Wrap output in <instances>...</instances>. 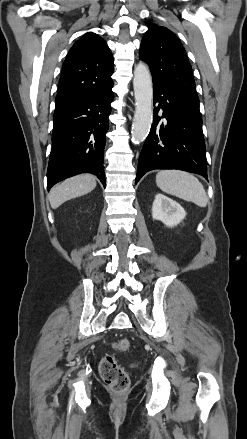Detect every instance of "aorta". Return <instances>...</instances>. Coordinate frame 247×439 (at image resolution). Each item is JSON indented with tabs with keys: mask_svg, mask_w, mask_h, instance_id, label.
<instances>
[{
	"mask_svg": "<svg viewBox=\"0 0 247 439\" xmlns=\"http://www.w3.org/2000/svg\"><path fill=\"white\" fill-rule=\"evenodd\" d=\"M135 114L132 125V142L140 144L149 134L153 121V87L149 68L139 63L134 70Z\"/></svg>",
	"mask_w": 247,
	"mask_h": 439,
	"instance_id": "obj_1",
	"label": "aorta"
}]
</instances>
